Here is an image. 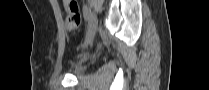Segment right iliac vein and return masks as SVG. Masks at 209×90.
I'll return each mask as SVG.
<instances>
[{
  "instance_id": "63e3f726",
  "label": "right iliac vein",
  "mask_w": 209,
  "mask_h": 90,
  "mask_svg": "<svg viewBox=\"0 0 209 90\" xmlns=\"http://www.w3.org/2000/svg\"><path fill=\"white\" fill-rule=\"evenodd\" d=\"M97 25H98L97 17L94 13H92V15L90 16V19H89L88 30L86 33L84 47H86L88 44H90L92 42V40L94 39L96 30H97Z\"/></svg>"
}]
</instances>
